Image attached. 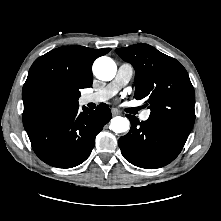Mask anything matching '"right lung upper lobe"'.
Segmentation results:
<instances>
[{
  "label": "right lung upper lobe",
  "instance_id": "right-lung-upper-lobe-1",
  "mask_svg": "<svg viewBox=\"0 0 221 221\" xmlns=\"http://www.w3.org/2000/svg\"><path fill=\"white\" fill-rule=\"evenodd\" d=\"M111 49L67 46L37 58L23 86V124L78 104L80 89L92 85V64Z\"/></svg>",
  "mask_w": 221,
  "mask_h": 221
}]
</instances>
